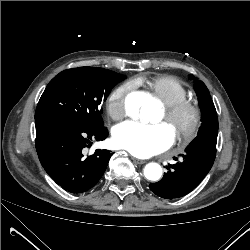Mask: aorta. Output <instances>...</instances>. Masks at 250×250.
Wrapping results in <instances>:
<instances>
[{"instance_id": "762f6f07", "label": "aorta", "mask_w": 250, "mask_h": 250, "mask_svg": "<svg viewBox=\"0 0 250 250\" xmlns=\"http://www.w3.org/2000/svg\"><path fill=\"white\" fill-rule=\"evenodd\" d=\"M127 110L129 112L136 111L137 108L139 107V104L134 102L133 100H129L127 102ZM141 117L144 120H150L153 118V114L151 111L148 109L143 108L141 111ZM144 176L151 181H157L161 178L162 176V168L159 164L157 163H149L145 166L144 169Z\"/></svg>"}]
</instances>
